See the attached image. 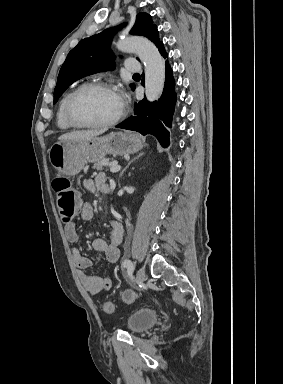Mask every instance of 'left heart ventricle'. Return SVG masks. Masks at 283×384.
Returning a JSON list of instances; mask_svg holds the SVG:
<instances>
[{
	"instance_id": "obj_1",
	"label": "left heart ventricle",
	"mask_w": 283,
	"mask_h": 384,
	"mask_svg": "<svg viewBox=\"0 0 283 384\" xmlns=\"http://www.w3.org/2000/svg\"><path fill=\"white\" fill-rule=\"evenodd\" d=\"M120 105L115 94L107 90H92L81 94L73 105V117L79 124H97L111 120Z\"/></svg>"
}]
</instances>
